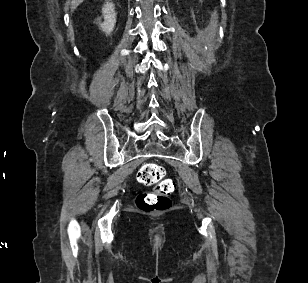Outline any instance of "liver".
Listing matches in <instances>:
<instances>
[{
    "label": "liver",
    "mask_w": 308,
    "mask_h": 283,
    "mask_svg": "<svg viewBox=\"0 0 308 283\" xmlns=\"http://www.w3.org/2000/svg\"><path fill=\"white\" fill-rule=\"evenodd\" d=\"M84 0H71V9H76Z\"/></svg>",
    "instance_id": "obj_1"
}]
</instances>
